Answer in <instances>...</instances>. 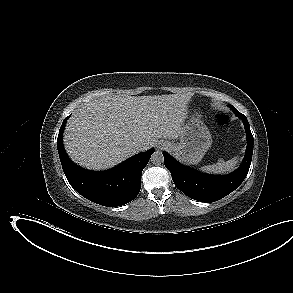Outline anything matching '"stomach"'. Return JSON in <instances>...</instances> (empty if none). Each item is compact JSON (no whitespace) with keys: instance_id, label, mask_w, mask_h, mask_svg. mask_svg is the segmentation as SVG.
<instances>
[{"instance_id":"obj_1","label":"stomach","mask_w":293,"mask_h":293,"mask_svg":"<svg viewBox=\"0 0 293 293\" xmlns=\"http://www.w3.org/2000/svg\"><path fill=\"white\" fill-rule=\"evenodd\" d=\"M212 145L211 134L201 120V115L195 113L183 127L180 142L168 143L169 149L180 161L187 164H198Z\"/></svg>"}]
</instances>
